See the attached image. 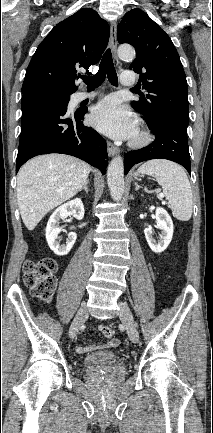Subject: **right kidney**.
Listing matches in <instances>:
<instances>
[{
	"instance_id": "right-kidney-1",
	"label": "right kidney",
	"mask_w": 213,
	"mask_h": 433,
	"mask_svg": "<svg viewBox=\"0 0 213 433\" xmlns=\"http://www.w3.org/2000/svg\"><path fill=\"white\" fill-rule=\"evenodd\" d=\"M68 216H73L78 220L84 217V206L80 198L71 200L58 207L50 216L46 227V240L50 249L58 256L67 255L72 249L76 241V233L68 234L66 244H60L59 233L64 231L59 227V221L66 219Z\"/></svg>"
}]
</instances>
